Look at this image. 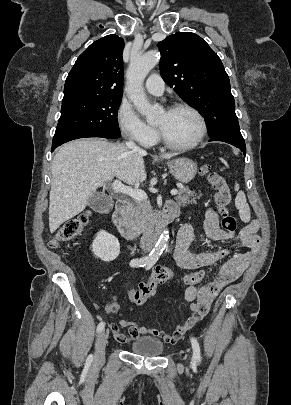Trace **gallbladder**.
I'll return each mask as SVG.
<instances>
[{"instance_id": "1", "label": "gallbladder", "mask_w": 291, "mask_h": 405, "mask_svg": "<svg viewBox=\"0 0 291 405\" xmlns=\"http://www.w3.org/2000/svg\"><path fill=\"white\" fill-rule=\"evenodd\" d=\"M88 206L99 213L109 211L113 206L112 198L103 193H95L88 201Z\"/></svg>"}]
</instances>
